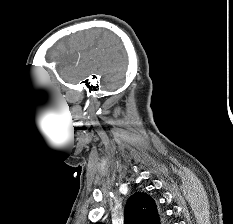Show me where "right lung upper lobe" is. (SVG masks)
Here are the masks:
<instances>
[{"instance_id":"cb5924a9","label":"right lung upper lobe","mask_w":233,"mask_h":224,"mask_svg":"<svg viewBox=\"0 0 233 224\" xmlns=\"http://www.w3.org/2000/svg\"><path fill=\"white\" fill-rule=\"evenodd\" d=\"M125 224H161L154 200L146 193H135L125 208ZM100 224V223H97Z\"/></svg>"}]
</instances>
